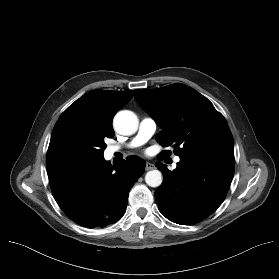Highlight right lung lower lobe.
Segmentation results:
<instances>
[{"label":"right lung lower lobe","mask_w":279,"mask_h":279,"mask_svg":"<svg viewBox=\"0 0 279 279\" xmlns=\"http://www.w3.org/2000/svg\"><path fill=\"white\" fill-rule=\"evenodd\" d=\"M145 161L132 155L118 165L104 158L48 170L53 196L77 224L105 227L125 213L129 191L145 171Z\"/></svg>","instance_id":"1"}]
</instances>
